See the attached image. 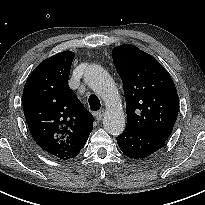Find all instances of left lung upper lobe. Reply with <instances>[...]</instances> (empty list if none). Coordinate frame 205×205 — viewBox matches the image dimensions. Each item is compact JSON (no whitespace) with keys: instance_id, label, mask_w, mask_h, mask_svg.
Here are the masks:
<instances>
[{"instance_id":"left-lung-upper-lobe-1","label":"left lung upper lobe","mask_w":205,"mask_h":205,"mask_svg":"<svg viewBox=\"0 0 205 205\" xmlns=\"http://www.w3.org/2000/svg\"><path fill=\"white\" fill-rule=\"evenodd\" d=\"M126 100V127L158 136L171 135L179 99L172 78L151 55L130 44L112 51Z\"/></svg>"}]
</instances>
